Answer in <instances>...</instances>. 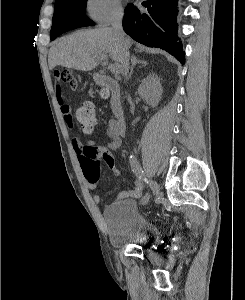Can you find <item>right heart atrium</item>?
Masks as SVG:
<instances>
[{"mask_svg":"<svg viewBox=\"0 0 245 300\" xmlns=\"http://www.w3.org/2000/svg\"><path fill=\"white\" fill-rule=\"evenodd\" d=\"M84 12L95 23L106 25L122 17L123 6L121 0H86Z\"/></svg>","mask_w":245,"mask_h":300,"instance_id":"obj_1","label":"right heart atrium"}]
</instances>
